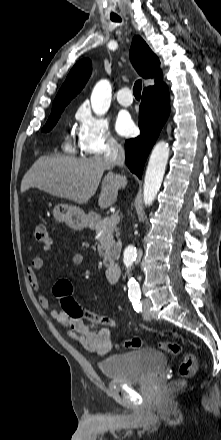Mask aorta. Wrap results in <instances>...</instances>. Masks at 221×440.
<instances>
[{"instance_id": "762f6f07", "label": "aorta", "mask_w": 221, "mask_h": 440, "mask_svg": "<svg viewBox=\"0 0 221 440\" xmlns=\"http://www.w3.org/2000/svg\"><path fill=\"white\" fill-rule=\"evenodd\" d=\"M111 95L112 89L108 80H101L95 85L91 94V106L96 115H104L108 111L111 103ZM168 157V144L165 141L158 142L152 150L145 174L143 189L145 205L152 204L160 189ZM135 259L136 248L133 245H129L124 251L123 258L127 269L131 268ZM128 288L130 292L139 291V285L133 278H129Z\"/></svg>"}]
</instances>
